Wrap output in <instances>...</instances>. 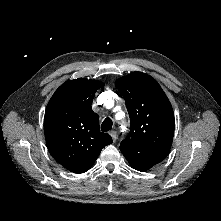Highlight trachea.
Returning <instances> with one entry per match:
<instances>
[{
  "instance_id": "1",
  "label": "trachea",
  "mask_w": 221,
  "mask_h": 221,
  "mask_svg": "<svg viewBox=\"0 0 221 221\" xmlns=\"http://www.w3.org/2000/svg\"><path fill=\"white\" fill-rule=\"evenodd\" d=\"M113 122L110 118H105L101 124V130L107 132L112 129Z\"/></svg>"
}]
</instances>
